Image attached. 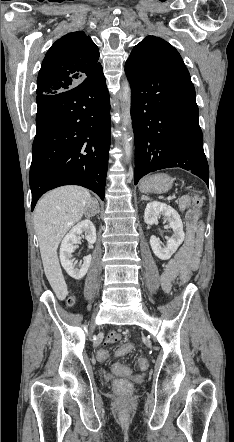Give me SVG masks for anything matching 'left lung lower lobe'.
<instances>
[{
  "label": "left lung lower lobe",
  "instance_id": "obj_1",
  "mask_svg": "<svg viewBox=\"0 0 234 442\" xmlns=\"http://www.w3.org/2000/svg\"><path fill=\"white\" fill-rule=\"evenodd\" d=\"M135 141V181L156 170L180 167L208 185L195 89L186 67H150L127 60Z\"/></svg>",
  "mask_w": 234,
  "mask_h": 442
}]
</instances>
